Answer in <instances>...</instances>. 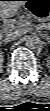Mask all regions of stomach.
Listing matches in <instances>:
<instances>
[{"mask_svg": "<svg viewBox=\"0 0 50 111\" xmlns=\"http://www.w3.org/2000/svg\"><path fill=\"white\" fill-rule=\"evenodd\" d=\"M25 9L38 21L50 20V0H25Z\"/></svg>", "mask_w": 50, "mask_h": 111, "instance_id": "0dacf381", "label": "stomach"}]
</instances>
